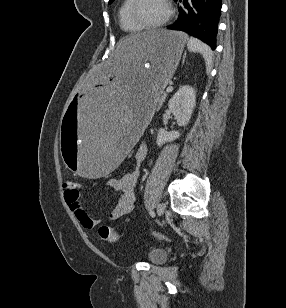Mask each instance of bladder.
I'll return each instance as SVG.
<instances>
[{"mask_svg":"<svg viewBox=\"0 0 286 308\" xmlns=\"http://www.w3.org/2000/svg\"><path fill=\"white\" fill-rule=\"evenodd\" d=\"M147 258L150 263H162L167 259V251L163 248H154L148 252Z\"/></svg>","mask_w":286,"mask_h":308,"instance_id":"31cf9c89","label":"bladder"}]
</instances>
